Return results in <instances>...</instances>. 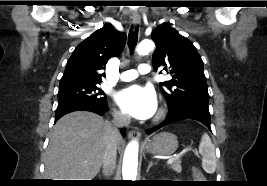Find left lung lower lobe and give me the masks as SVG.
<instances>
[{"label": "left lung lower lobe", "instance_id": "0a47b994", "mask_svg": "<svg viewBox=\"0 0 267 186\" xmlns=\"http://www.w3.org/2000/svg\"><path fill=\"white\" fill-rule=\"evenodd\" d=\"M185 119H192L199 121L211 130L210 113L208 108L201 106H186L180 109L169 111L165 121L154 128L146 130V134H151L163 126Z\"/></svg>", "mask_w": 267, "mask_h": 186}]
</instances>
